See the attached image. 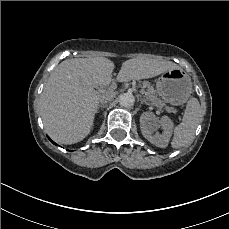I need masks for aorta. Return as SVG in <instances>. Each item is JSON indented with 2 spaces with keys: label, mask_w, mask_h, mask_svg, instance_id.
<instances>
[{
  "label": "aorta",
  "mask_w": 229,
  "mask_h": 229,
  "mask_svg": "<svg viewBox=\"0 0 229 229\" xmlns=\"http://www.w3.org/2000/svg\"><path fill=\"white\" fill-rule=\"evenodd\" d=\"M135 98L132 93H123L119 96V103L122 107H132L134 105Z\"/></svg>",
  "instance_id": "1"
}]
</instances>
